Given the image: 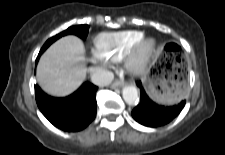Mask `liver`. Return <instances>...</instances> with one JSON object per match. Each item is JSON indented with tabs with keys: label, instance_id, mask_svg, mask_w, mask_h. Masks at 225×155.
Wrapping results in <instances>:
<instances>
[{
	"label": "liver",
	"instance_id": "1",
	"mask_svg": "<svg viewBox=\"0 0 225 155\" xmlns=\"http://www.w3.org/2000/svg\"><path fill=\"white\" fill-rule=\"evenodd\" d=\"M86 77L84 45L69 35L54 42L41 56L37 66V80L41 88L52 96L73 93Z\"/></svg>",
	"mask_w": 225,
	"mask_h": 155
}]
</instances>
